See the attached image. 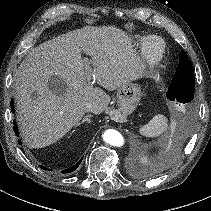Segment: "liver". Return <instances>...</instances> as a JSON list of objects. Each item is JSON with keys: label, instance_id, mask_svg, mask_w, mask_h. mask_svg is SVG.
<instances>
[{"label": "liver", "instance_id": "obj_1", "mask_svg": "<svg viewBox=\"0 0 211 211\" xmlns=\"http://www.w3.org/2000/svg\"><path fill=\"white\" fill-rule=\"evenodd\" d=\"M91 56L82 58L81 54ZM132 40L113 27L86 26L57 36L31 50L14 75L17 122L29 148H43L62 138L94 105L102 113L110 96L89 84L93 78L108 91L137 77ZM59 77L60 93L49 87ZM94 76V77H93Z\"/></svg>", "mask_w": 211, "mask_h": 211}]
</instances>
